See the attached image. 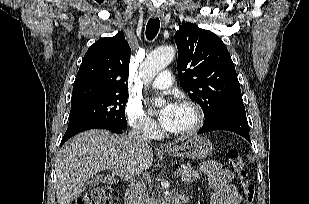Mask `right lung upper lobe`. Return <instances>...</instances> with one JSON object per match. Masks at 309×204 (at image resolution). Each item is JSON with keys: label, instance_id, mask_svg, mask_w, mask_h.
Here are the masks:
<instances>
[{"label": "right lung upper lobe", "instance_id": "1", "mask_svg": "<svg viewBox=\"0 0 309 204\" xmlns=\"http://www.w3.org/2000/svg\"><path fill=\"white\" fill-rule=\"evenodd\" d=\"M130 54L123 32L96 41L83 58L74 81L71 103L106 94L127 93Z\"/></svg>", "mask_w": 309, "mask_h": 204}]
</instances>
